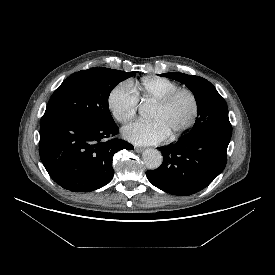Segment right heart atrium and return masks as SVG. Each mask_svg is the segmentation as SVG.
<instances>
[{
  "label": "right heart atrium",
  "instance_id": "obj_1",
  "mask_svg": "<svg viewBox=\"0 0 275 275\" xmlns=\"http://www.w3.org/2000/svg\"><path fill=\"white\" fill-rule=\"evenodd\" d=\"M108 107L113 118L119 123H127L137 113L139 97L131 80L115 85L108 96Z\"/></svg>",
  "mask_w": 275,
  "mask_h": 275
}]
</instances>
